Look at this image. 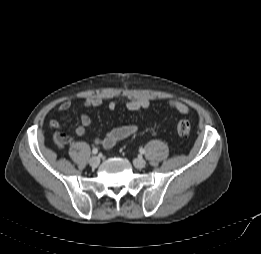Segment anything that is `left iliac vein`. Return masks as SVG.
I'll return each instance as SVG.
<instances>
[{"label":"left iliac vein","mask_w":261,"mask_h":254,"mask_svg":"<svg viewBox=\"0 0 261 254\" xmlns=\"http://www.w3.org/2000/svg\"><path fill=\"white\" fill-rule=\"evenodd\" d=\"M133 164L137 169H142L146 166V162L142 157L134 159Z\"/></svg>","instance_id":"left-iliac-vein-1"}]
</instances>
